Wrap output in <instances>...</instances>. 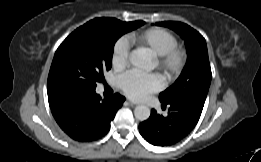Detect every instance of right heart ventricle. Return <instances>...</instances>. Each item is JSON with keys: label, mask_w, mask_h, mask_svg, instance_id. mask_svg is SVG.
Instances as JSON below:
<instances>
[{"label": "right heart ventricle", "mask_w": 261, "mask_h": 162, "mask_svg": "<svg viewBox=\"0 0 261 162\" xmlns=\"http://www.w3.org/2000/svg\"><path fill=\"white\" fill-rule=\"evenodd\" d=\"M126 40L130 44L148 49L155 56L161 55L177 46L176 37L171 32L158 27L131 33L126 37Z\"/></svg>", "instance_id": "1"}]
</instances>
